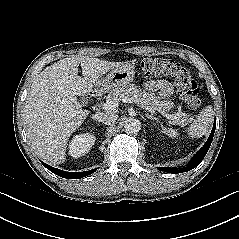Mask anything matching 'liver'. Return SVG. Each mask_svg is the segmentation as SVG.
<instances>
[{
    "label": "liver",
    "mask_w": 239,
    "mask_h": 239,
    "mask_svg": "<svg viewBox=\"0 0 239 239\" xmlns=\"http://www.w3.org/2000/svg\"><path fill=\"white\" fill-rule=\"evenodd\" d=\"M81 64L82 74L78 75ZM121 62L67 57L45 68L32 83L24 107L26 130L35 153L50 164L65 161L67 142L88 115L76 96L91 92Z\"/></svg>",
    "instance_id": "obj_1"
}]
</instances>
